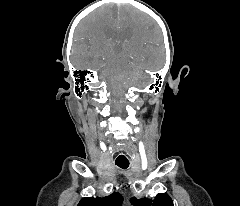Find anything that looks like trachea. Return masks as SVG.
Segmentation results:
<instances>
[{"label": "trachea", "mask_w": 240, "mask_h": 206, "mask_svg": "<svg viewBox=\"0 0 240 206\" xmlns=\"http://www.w3.org/2000/svg\"><path fill=\"white\" fill-rule=\"evenodd\" d=\"M115 163L122 169H126L129 167V161H116Z\"/></svg>", "instance_id": "3493384b"}]
</instances>
